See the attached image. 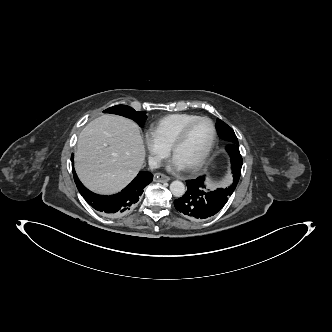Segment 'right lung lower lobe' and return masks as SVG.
<instances>
[{"label": "right lung lower lobe", "instance_id": "1", "mask_svg": "<svg viewBox=\"0 0 332 332\" xmlns=\"http://www.w3.org/2000/svg\"><path fill=\"white\" fill-rule=\"evenodd\" d=\"M71 160L73 161V154ZM72 170L76 186L86 202L102 215L108 217H117L130 212L139 201L143 189L153 180V175L150 172L141 171L120 193L106 196L98 195L88 190L78 179L73 163Z\"/></svg>", "mask_w": 332, "mask_h": 332}]
</instances>
